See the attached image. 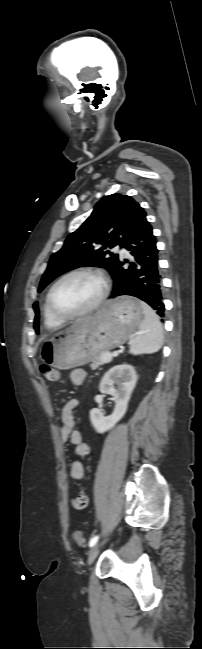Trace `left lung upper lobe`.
Instances as JSON below:
<instances>
[{
    "label": "left lung upper lobe",
    "instance_id": "left-lung-upper-lobe-1",
    "mask_svg": "<svg viewBox=\"0 0 202 649\" xmlns=\"http://www.w3.org/2000/svg\"><path fill=\"white\" fill-rule=\"evenodd\" d=\"M146 215L143 208L130 196L112 194L103 197L94 207L91 216L66 239L62 249L54 253L42 276L38 292L55 277L82 266H102L112 271L119 255L107 248L121 245L133 225ZM35 310L34 329L39 332L38 304Z\"/></svg>",
    "mask_w": 202,
    "mask_h": 649
}]
</instances>
